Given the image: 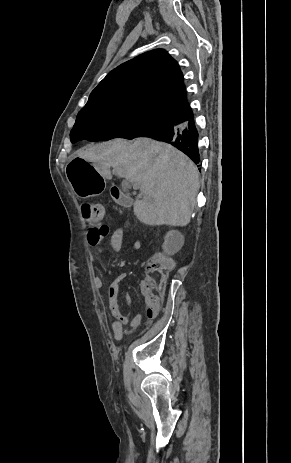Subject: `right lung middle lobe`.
Instances as JSON below:
<instances>
[{
	"instance_id": "obj_1",
	"label": "right lung middle lobe",
	"mask_w": 291,
	"mask_h": 463,
	"mask_svg": "<svg viewBox=\"0 0 291 463\" xmlns=\"http://www.w3.org/2000/svg\"><path fill=\"white\" fill-rule=\"evenodd\" d=\"M166 124V120L139 110L81 109L70 133L71 142L134 139Z\"/></svg>"
}]
</instances>
